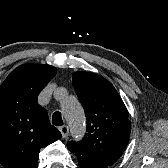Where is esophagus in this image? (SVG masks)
<instances>
[{"instance_id":"1","label":"esophagus","mask_w":168,"mask_h":168,"mask_svg":"<svg viewBox=\"0 0 168 168\" xmlns=\"http://www.w3.org/2000/svg\"><path fill=\"white\" fill-rule=\"evenodd\" d=\"M59 130H60V132H61V134L64 138L68 136V133H69V127L68 126H66V125L61 126L59 128Z\"/></svg>"}]
</instances>
